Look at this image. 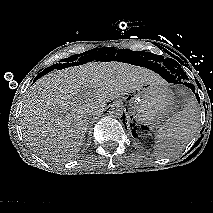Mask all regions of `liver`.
Returning a JSON list of instances; mask_svg holds the SVG:
<instances>
[{
	"label": "liver",
	"mask_w": 213,
	"mask_h": 213,
	"mask_svg": "<svg viewBox=\"0 0 213 213\" xmlns=\"http://www.w3.org/2000/svg\"><path fill=\"white\" fill-rule=\"evenodd\" d=\"M149 83L163 81L149 69L117 61L51 71L27 92L22 111L24 138L42 158L69 160L83 145L88 115ZM87 94L91 98L81 102L78 97Z\"/></svg>",
	"instance_id": "obj_1"
}]
</instances>
